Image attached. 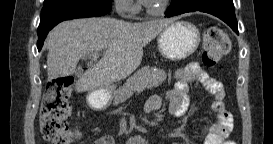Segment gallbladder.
I'll return each mask as SVG.
<instances>
[{"label": "gallbladder", "instance_id": "1", "mask_svg": "<svg viewBox=\"0 0 273 144\" xmlns=\"http://www.w3.org/2000/svg\"><path fill=\"white\" fill-rule=\"evenodd\" d=\"M72 68H73V71H74V72H73V75H74V76H81L82 73H83V71H84L83 68H80V67H79V65H73Z\"/></svg>", "mask_w": 273, "mask_h": 144}]
</instances>
